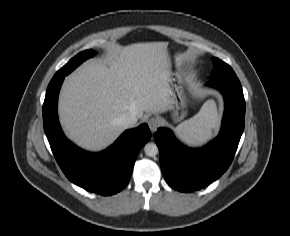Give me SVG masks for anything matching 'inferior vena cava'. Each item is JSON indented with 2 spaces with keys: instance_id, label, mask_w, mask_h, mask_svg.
Returning <instances> with one entry per match:
<instances>
[{
  "instance_id": "1",
  "label": "inferior vena cava",
  "mask_w": 290,
  "mask_h": 236,
  "mask_svg": "<svg viewBox=\"0 0 290 236\" xmlns=\"http://www.w3.org/2000/svg\"><path fill=\"white\" fill-rule=\"evenodd\" d=\"M137 120L138 117L134 112H128L120 117L119 122L124 128H129L135 125Z\"/></svg>"
}]
</instances>
